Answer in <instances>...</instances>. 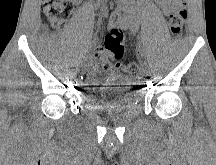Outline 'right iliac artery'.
<instances>
[{
    "label": "right iliac artery",
    "mask_w": 216,
    "mask_h": 165,
    "mask_svg": "<svg viewBox=\"0 0 216 165\" xmlns=\"http://www.w3.org/2000/svg\"><path fill=\"white\" fill-rule=\"evenodd\" d=\"M87 56L88 55L86 53L83 56H80V61H81L82 64H85L87 62L86 61L87 60Z\"/></svg>",
    "instance_id": "1"
}]
</instances>
